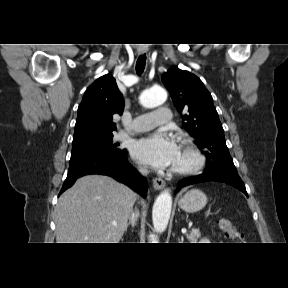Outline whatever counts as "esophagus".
Instances as JSON below:
<instances>
[{
	"label": "esophagus",
	"instance_id": "34e87169",
	"mask_svg": "<svg viewBox=\"0 0 288 288\" xmlns=\"http://www.w3.org/2000/svg\"><path fill=\"white\" fill-rule=\"evenodd\" d=\"M146 52L145 49L139 50L138 54L143 55ZM153 187L156 190H163L166 187V183L162 178H155L153 179Z\"/></svg>",
	"mask_w": 288,
	"mask_h": 288
}]
</instances>
